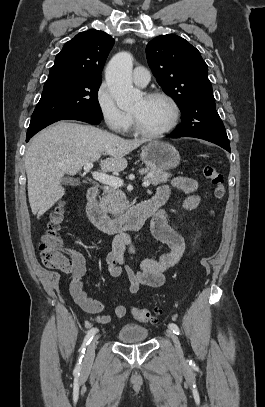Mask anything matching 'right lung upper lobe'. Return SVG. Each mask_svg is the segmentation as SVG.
Instances as JSON below:
<instances>
[{
	"label": "right lung upper lobe",
	"instance_id": "obj_1",
	"mask_svg": "<svg viewBox=\"0 0 265 407\" xmlns=\"http://www.w3.org/2000/svg\"><path fill=\"white\" fill-rule=\"evenodd\" d=\"M114 39L103 31L80 32L57 54L50 76L68 74L91 80H101V72Z\"/></svg>",
	"mask_w": 265,
	"mask_h": 407
}]
</instances>
